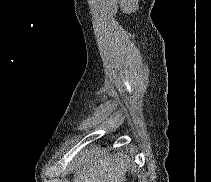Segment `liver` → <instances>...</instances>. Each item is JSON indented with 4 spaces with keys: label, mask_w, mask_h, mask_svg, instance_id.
Here are the masks:
<instances>
[{
    "label": "liver",
    "mask_w": 211,
    "mask_h": 182,
    "mask_svg": "<svg viewBox=\"0 0 211 182\" xmlns=\"http://www.w3.org/2000/svg\"><path fill=\"white\" fill-rule=\"evenodd\" d=\"M74 182H124L128 164L119 155L92 153L74 164Z\"/></svg>",
    "instance_id": "obj_1"
}]
</instances>
